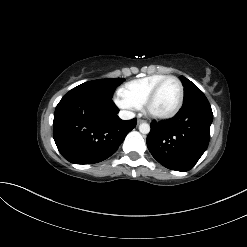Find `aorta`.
Masks as SVG:
<instances>
[{
	"instance_id": "aorta-1",
	"label": "aorta",
	"mask_w": 247,
	"mask_h": 247,
	"mask_svg": "<svg viewBox=\"0 0 247 247\" xmlns=\"http://www.w3.org/2000/svg\"><path fill=\"white\" fill-rule=\"evenodd\" d=\"M139 131L142 133V134H148L150 132V125L147 124V123H141L139 125Z\"/></svg>"
}]
</instances>
